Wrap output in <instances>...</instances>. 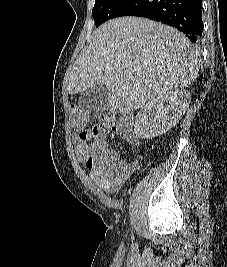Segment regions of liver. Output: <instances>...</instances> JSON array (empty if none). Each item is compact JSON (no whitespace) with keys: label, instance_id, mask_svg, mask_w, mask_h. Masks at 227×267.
Returning <instances> with one entry per match:
<instances>
[{"label":"liver","instance_id":"obj_1","mask_svg":"<svg viewBox=\"0 0 227 267\" xmlns=\"http://www.w3.org/2000/svg\"><path fill=\"white\" fill-rule=\"evenodd\" d=\"M199 72V52L178 30L138 17L110 20L68 76L73 95L95 85L108 88V102L130 113L173 89L189 87Z\"/></svg>","mask_w":227,"mask_h":267}]
</instances>
